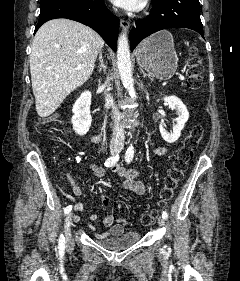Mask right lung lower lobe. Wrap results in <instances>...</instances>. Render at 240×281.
Here are the masks:
<instances>
[{
    "mask_svg": "<svg viewBox=\"0 0 240 281\" xmlns=\"http://www.w3.org/2000/svg\"><path fill=\"white\" fill-rule=\"evenodd\" d=\"M40 9L35 32L48 20L67 18L94 29L116 51L119 19L108 11L104 0H49Z\"/></svg>",
    "mask_w": 240,
    "mask_h": 281,
    "instance_id": "98d812e1",
    "label": "right lung lower lobe"
}]
</instances>
